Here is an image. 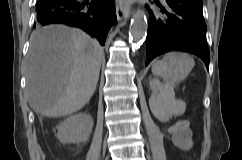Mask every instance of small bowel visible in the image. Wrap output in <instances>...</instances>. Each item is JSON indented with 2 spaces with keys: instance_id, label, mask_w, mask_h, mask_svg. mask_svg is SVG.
Listing matches in <instances>:
<instances>
[{
  "instance_id": "small-bowel-1",
  "label": "small bowel",
  "mask_w": 242,
  "mask_h": 160,
  "mask_svg": "<svg viewBox=\"0 0 242 160\" xmlns=\"http://www.w3.org/2000/svg\"><path fill=\"white\" fill-rule=\"evenodd\" d=\"M173 132L177 146L185 150L192 146V133L187 121L179 122Z\"/></svg>"
}]
</instances>
